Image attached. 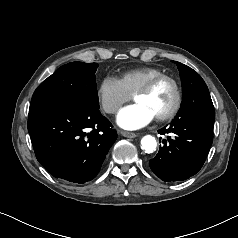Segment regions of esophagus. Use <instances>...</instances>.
Listing matches in <instances>:
<instances>
[{
    "label": "esophagus",
    "mask_w": 238,
    "mask_h": 238,
    "mask_svg": "<svg viewBox=\"0 0 238 238\" xmlns=\"http://www.w3.org/2000/svg\"><path fill=\"white\" fill-rule=\"evenodd\" d=\"M120 134L124 137H128V138H134L137 136L136 133L133 132H128V131H120Z\"/></svg>",
    "instance_id": "1"
}]
</instances>
